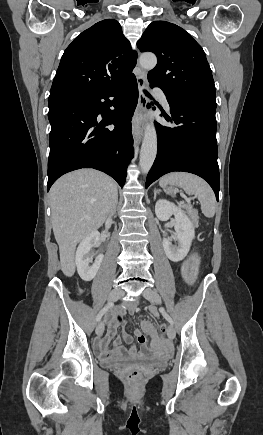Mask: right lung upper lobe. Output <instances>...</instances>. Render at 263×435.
<instances>
[{
    "label": "right lung upper lobe",
    "mask_w": 263,
    "mask_h": 435,
    "mask_svg": "<svg viewBox=\"0 0 263 435\" xmlns=\"http://www.w3.org/2000/svg\"><path fill=\"white\" fill-rule=\"evenodd\" d=\"M137 53L114 19L82 32L65 50L54 77L49 106L89 97L133 76Z\"/></svg>",
    "instance_id": "obj_1"
}]
</instances>
